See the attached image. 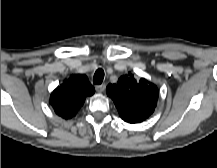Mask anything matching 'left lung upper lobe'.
<instances>
[{"instance_id":"obj_1","label":"left lung upper lobe","mask_w":217,"mask_h":168,"mask_svg":"<svg viewBox=\"0 0 217 168\" xmlns=\"http://www.w3.org/2000/svg\"><path fill=\"white\" fill-rule=\"evenodd\" d=\"M106 92L121 118L128 123L144 121L157 104V87L144 78L136 80L131 73L121 76L116 84H109Z\"/></svg>"}]
</instances>
